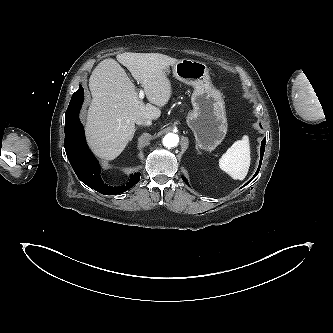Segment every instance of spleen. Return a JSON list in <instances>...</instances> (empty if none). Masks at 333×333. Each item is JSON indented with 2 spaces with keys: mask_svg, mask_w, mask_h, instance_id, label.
Returning <instances> with one entry per match:
<instances>
[{
  "mask_svg": "<svg viewBox=\"0 0 333 333\" xmlns=\"http://www.w3.org/2000/svg\"><path fill=\"white\" fill-rule=\"evenodd\" d=\"M250 146L248 136L237 140L219 159V167L234 180H243L250 166Z\"/></svg>",
  "mask_w": 333,
  "mask_h": 333,
  "instance_id": "obj_1",
  "label": "spleen"
}]
</instances>
